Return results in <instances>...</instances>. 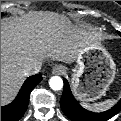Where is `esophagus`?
Wrapping results in <instances>:
<instances>
[{"label":"esophagus","instance_id":"esophagus-1","mask_svg":"<svg viewBox=\"0 0 121 121\" xmlns=\"http://www.w3.org/2000/svg\"><path fill=\"white\" fill-rule=\"evenodd\" d=\"M64 70H65L64 66L56 65V66H54V68L52 70V73L54 75H60V74H62L64 72Z\"/></svg>","mask_w":121,"mask_h":121}]
</instances>
